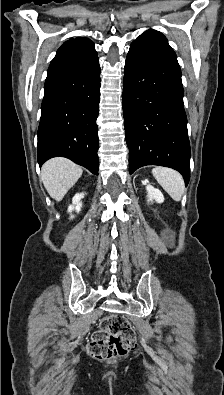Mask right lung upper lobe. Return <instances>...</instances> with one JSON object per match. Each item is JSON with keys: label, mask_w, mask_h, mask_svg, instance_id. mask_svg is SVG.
Here are the masks:
<instances>
[{"label": "right lung upper lobe", "mask_w": 224, "mask_h": 395, "mask_svg": "<svg viewBox=\"0 0 224 395\" xmlns=\"http://www.w3.org/2000/svg\"><path fill=\"white\" fill-rule=\"evenodd\" d=\"M76 41L80 44L81 47L85 48V49H94V45L92 43V41L88 38H75Z\"/></svg>", "instance_id": "right-lung-upper-lobe-1"}]
</instances>
